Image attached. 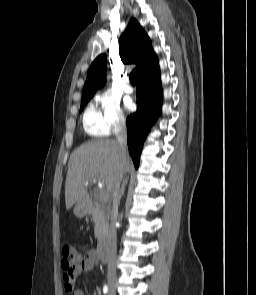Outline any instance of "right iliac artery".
Wrapping results in <instances>:
<instances>
[{"label": "right iliac artery", "instance_id": "obj_1", "mask_svg": "<svg viewBox=\"0 0 256 295\" xmlns=\"http://www.w3.org/2000/svg\"><path fill=\"white\" fill-rule=\"evenodd\" d=\"M107 292H108V287H107V285H105V286L103 287V293L106 294Z\"/></svg>", "mask_w": 256, "mask_h": 295}]
</instances>
